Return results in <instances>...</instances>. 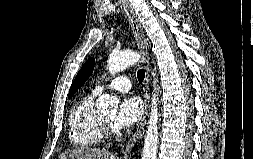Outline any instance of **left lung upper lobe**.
<instances>
[{
	"label": "left lung upper lobe",
	"mask_w": 253,
	"mask_h": 159,
	"mask_svg": "<svg viewBox=\"0 0 253 159\" xmlns=\"http://www.w3.org/2000/svg\"><path fill=\"white\" fill-rule=\"evenodd\" d=\"M94 63H95V60L91 58L82 66V68L76 75L70 87L68 98H71L73 94L76 93L78 88H80L85 83V81L89 78V76L92 74L93 69H94Z\"/></svg>",
	"instance_id": "5c2ea615"
}]
</instances>
